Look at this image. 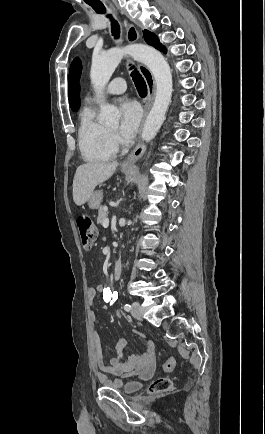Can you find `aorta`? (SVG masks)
I'll list each match as a JSON object with an SVG mask.
<instances>
[{"mask_svg": "<svg viewBox=\"0 0 265 434\" xmlns=\"http://www.w3.org/2000/svg\"><path fill=\"white\" fill-rule=\"evenodd\" d=\"M127 54L132 56L134 60L145 64L154 76L156 96L141 136L145 142H150L155 138L166 118L173 92L172 72L168 62L160 52L154 48H149V46H143V44H133V46H126V48H111L100 56H93L90 72L91 84L94 92L102 94L103 88L108 84L123 56H127ZM100 110L99 122L118 126L120 114L115 106L105 104V106H101Z\"/></svg>", "mask_w": 265, "mask_h": 434, "instance_id": "aorta-1", "label": "aorta"}]
</instances>
